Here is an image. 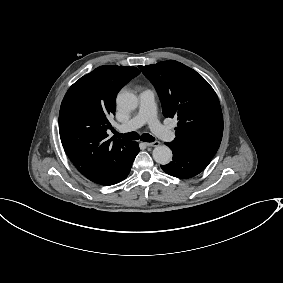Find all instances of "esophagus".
I'll return each instance as SVG.
<instances>
[{
    "label": "esophagus",
    "mask_w": 283,
    "mask_h": 283,
    "mask_svg": "<svg viewBox=\"0 0 283 283\" xmlns=\"http://www.w3.org/2000/svg\"><path fill=\"white\" fill-rule=\"evenodd\" d=\"M159 145H160V142H159V141L147 142V143H146V146H149V147H156V146H159Z\"/></svg>",
    "instance_id": "34e87169"
}]
</instances>
